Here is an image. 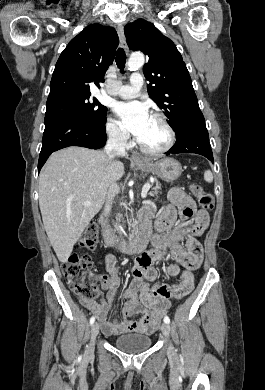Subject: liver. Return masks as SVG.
Here are the masks:
<instances>
[{
    "mask_svg": "<svg viewBox=\"0 0 265 390\" xmlns=\"http://www.w3.org/2000/svg\"><path fill=\"white\" fill-rule=\"evenodd\" d=\"M124 175L120 161L103 151L71 146L53 153L39 176V207L48 239L60 262L100 211L109 188ZM86 202L90 206L83 205Z\"/></svg>",
    "mask_w": 265,
    "mask_h": 390,
    "instance_id": "liver-1",
    "label": "liver"
}]
</instances>
